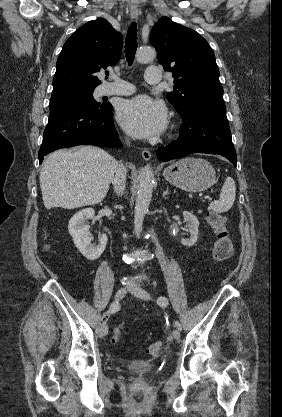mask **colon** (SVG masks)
<instances>
[{"label":"colon","mask_w":282,"mask_h":417,"mask_svg":"<svg viewBox=\"0 0 282 417\" xmlns=\"http://www.w3.org/2000/svg\"><path fill=\"white\" fill-rule=\"evenodd\" d=\"M206 220L215 235V242L213 248V255L217 262H225L229 260L233 253V242L228 232V220L225 215L210 211L206 215ZM123 331V326L114 329L111 343L117 344ZM163 345L160 342H154L148 345L147 355L150 358H158L162 353ZM137 397L143 396L142 390L136 391Z\"/></svg>","instance_id":"colon-1"}]
</instances>
